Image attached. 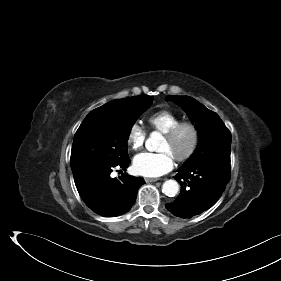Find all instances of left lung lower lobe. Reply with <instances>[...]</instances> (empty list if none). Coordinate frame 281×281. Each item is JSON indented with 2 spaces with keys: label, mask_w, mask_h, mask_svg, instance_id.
Segmentation results:
<instances>
[{
  "label": "left lung lower lobe",
  "mask_w": 281,
  "mask_h": 281,
  "mask_svg": "<svg viewBox=\"0 0 281 281\" xmlns=\"http://www.w3.org/2000/svg\"><path fill=\"white\" fill-rule=\"evenodd\" d=\"M174 178L182 185L179 196L166 208L175 216L191 218L212 207L230 179V161L206 160L183 165Z\"/></svg>",
  "instance_id": "1"
}]
</instances>
